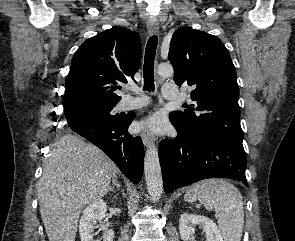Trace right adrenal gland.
Here are the masks:
<instances>
[{
	"label": "right adrenal gland",
	"mask_w": 295,
	"mask_h": 241,
	"mask_svg": "<svg viewBox=\"0 0 295 241\" xmlns=\"http://www.w3.org/2000/svg\"><path fill=\"white\" fill-rule=\"evenodd\" d=\"M117 179H118L117 175H114V176L112 177L113 187L109 186V190H110V191H113V188H114V187H116V188H118V190H120V184H119V182H118Z\"/></svg>",
	"instance_id": "2a0ac1e0"
}]
</instances>
